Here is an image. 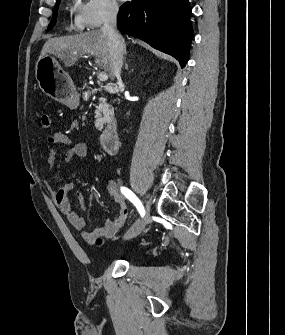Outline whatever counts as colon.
Returning a JSON list of instances; mask_svg holds the SVG:
<instances>
[{
  "label": "colon",
  "mask_w": 285,
  "mask_h": 335,
  "mask_svg": "<svg viewBox=\"0 0 285 335\" xmlns=\"http://www.w3.org/2000/svg\"><path fill=\"white\" fill-rule=\"evenodd\" d=\"M39 120H40L41 127L43 129H50V127H51V117L46 111H41L40 112ZM95 243L98 246L102 245L104 243V238L103 237L96 238Z\"/></svg>",
  "instance_id": "1"
}]
</instances>
